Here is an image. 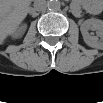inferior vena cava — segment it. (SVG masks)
I'll return each instance as SVG.
<instances>
[{
  "label": "inferior vena cava",
  "mask_w": 103,
  "mask_h": 103,
  "mask_svg": "<svg viewBox=\"0 0 103 103\" xmlns=\"http://www.w3.org/2000/svg\"><path fill=\"white\" fill-rule=\"evenodd\" d=\"M47 8V4L45 0H36L34 2V9L36 11H44Z\"/></svg>",
  "instance_id": "1"
}]
</instances>
